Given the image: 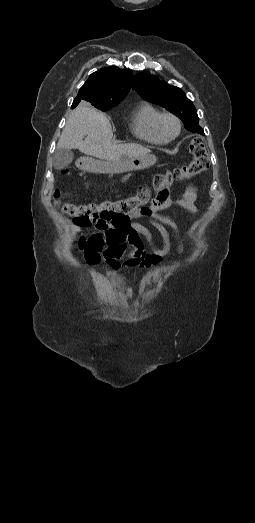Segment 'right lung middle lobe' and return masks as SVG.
<instances>
[{"mask_svg":"<svg viewBox=\"0 0 255 523\" xmlns=\"http://www.w3.org/2000/svg\"><path fill=\"white\" fill-rule=\"evenodd\" d=\"M118 103L119 102L99 103V104H94L93 106L104 112V111H107V110L111 109L112 107L116 106Z\"/></svg>","mask_w":255,"mask_h":523,"instance_id":"1","label":"right lung middle lobe"}]
</instances>
